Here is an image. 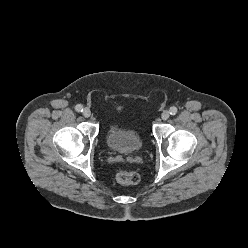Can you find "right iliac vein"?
<instances>
[{"label":"right iliac vein","instance_id":"1","mask_svg":"<svg viewBox=\"0 0 248 248\" xmlns=\"http://www.w3.org/2000/svg\"><path fill=\"white\" fill-rule=\"evenodd\" d=\"M90 115H91L90 109L85 108V109L83 110V116L86 117V118H88V117H90Z\"/></svg>","mask_w":248,"mask_h":248}]
</instances>
